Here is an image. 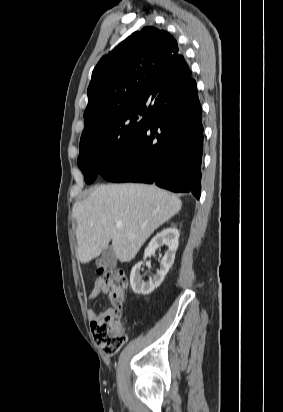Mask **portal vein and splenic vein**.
<instances>
[{
	"label": "portal vein and splenic vein",
	"mask_w": 283,
	"mask_h": 412,
	"mask_svg": "<svg viewBox=\"0 0 283 412\" xmlns=\"http://www.w3.org/2000/svg\"><path fill=\"white\" fill-rule=\"evenodd\" d=\"M116 227H117V228H121V227H122V223H121V222H116Z\"/></svg>",
	"instance_id": "portal-vein-and-splenic-vein-1"
}]
</instances>
